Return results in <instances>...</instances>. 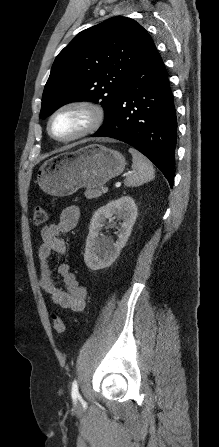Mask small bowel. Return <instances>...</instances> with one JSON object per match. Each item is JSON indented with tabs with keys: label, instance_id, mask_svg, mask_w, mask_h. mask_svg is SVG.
Listing matches in <instances>:
<instances>
[{
	"label": "small bowel",
	"instance_id": "small-bowel-1",
	"mask_svg": "<svg viewBox=\"0 0 219 447\" xmlns=\"http://www.w3.org/2000/svg\"><path fill=\"white\" fill-rule=\"evenodd\" d=\"M80 216L79 208L75 205L65 207L59 216L58 221L44 226L41 229L42 242L39 246L38 256L40 260L41 288L50 295L54 304L73 312H82L86 306L87 290L81 285L75 275L70 272L67 264H60L57 272L62 278L64 288L56 283L54 272L49 264V259L53 253L64 254L66 252V242L61 237L63 233L74 229Z\"/></svg>",
	"mask_w": 219,
	"mask_h": 447
}]
</instances>
